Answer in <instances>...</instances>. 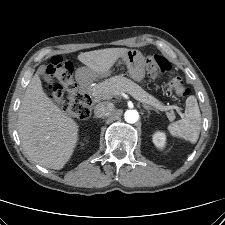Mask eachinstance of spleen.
<instances>
[{"mask_svg":"<svg viewBox=\"0 0 225 225\" xmlns=\"http://www.w3.org/2000/svg\"><path fill=\"white\" fill-rule=\"evenodd\" d=\"M167 129L174 137L183 138L191 143L197 142L201 130V113L195 96L187 98L184 118L169 124Z\"/></svg>","mask_w":225,"mask_h":225,"instance_id":"3e777b00","label":"spleen"}]
</instances>
